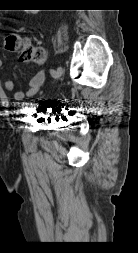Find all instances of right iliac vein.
I'll return each instance as SVG.
<instances>
[{"label":"right iliac vein","instance_id":"63e3f726","mask_svg":"<svg viewBox=\"0 0 138 253\" xmlns=\"http://www.w3.org/2000/svg\"><path fill=\"white\" fill-rule=\"evenodd\" d=\"M63 70L61 68H58L57 72H56V75H57V78H59L62 74Z\"/></svg>","mask_w":138,"mask_h":253}]
</instances>
